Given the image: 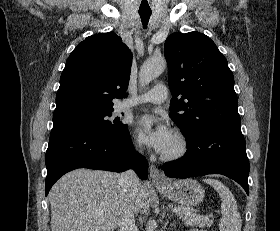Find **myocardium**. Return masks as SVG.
Wrapping results in <instances>:
<instances>
[{
	"label": "myocardium",
	"instance_id": "f54148a6",
	"mask_svg": "<svg viewBox=\"0 0 280 231\" xmlns=\"http://www.w3.org/2000/svg\"><path fill=\"white\" fill-rule=\"evenodd\" d=\"M174 140H175L174 148L171 151L165 152L162 155V159L165 161L179 160L183 158L189 150L190 144H189V139L186 135L178 132L176 133Z\"/></svg>",
	"mask_w": 280,
	"mask_h": 231
}]
</instances>
